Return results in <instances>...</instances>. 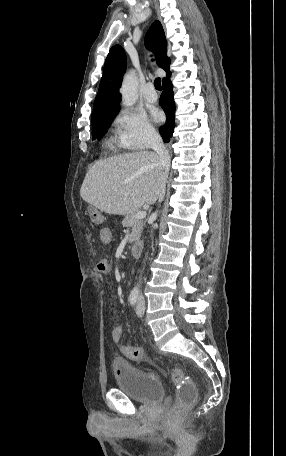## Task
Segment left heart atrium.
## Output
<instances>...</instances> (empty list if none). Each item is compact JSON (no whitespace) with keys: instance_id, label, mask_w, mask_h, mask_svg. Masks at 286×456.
I'll return each mask as SVG.
<instances>
[{"instance_id":"obj_1","label":"left heart atrium","mask_w":286,"mask_h":456,"mask_svg":"<svg viewBox=\"0 0 286 456\" xmlns=\"http://www.w3.org/2000/svg\"><path fill=\"white\" fill-rule=\"evenodd\" d=\"M151 116L154 121L158 122L162 120V114L156 109L151 110Z\"/></svg>"}]
</instances>
